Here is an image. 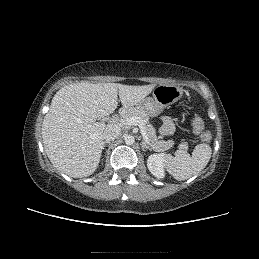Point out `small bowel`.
<instances>
[{
	"label": "small bowel",
	"mask_w": 259,
	"mask_h": 259,
	"mask_svg": "<svg viewBox=\"0 0 259 259\" xmlns=\"http://www.w3.org/2000/svg\"><path fill=\"white\" fill-rule=\"evenodd\" d=\"M174 130L173 121L170 117L166 116L162 118L161 133L164 135L172 134Z\"/></svg>",
	"instance_id": "1"
}]
</instances>
